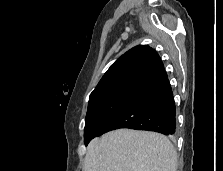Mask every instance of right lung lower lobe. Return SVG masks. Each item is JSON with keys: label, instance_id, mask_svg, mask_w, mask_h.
<instances>
[{"label": "right lung lower lobe", "instance_id": "98d812e1", "mask_svg": "<svg viewBox=\"0 0 223 171\" xmlns=\"http://www.w3.org/2000/svg\"><path fill=\"white\" fill-rule=\"evenodd\" d=\"M176 108L167 77L135 97L109 121L99 136L115 129L130 128L173 135L176 129Z\"/></svg>", "mask_w": 223, "mask_h": 171}]
</instances>
